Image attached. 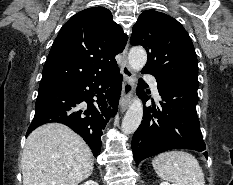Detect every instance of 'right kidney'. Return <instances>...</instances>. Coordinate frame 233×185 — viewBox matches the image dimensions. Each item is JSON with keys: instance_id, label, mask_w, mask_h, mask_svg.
Segmentation results:
<instances>
[{"instance_id": "obj_1", "label": "right kidney", "mask_w": 233, "mask_h": 185, "mask_svg": "<svg viewBox=\"0 0 233 185\" xmlns=\"http://www.w3.org/2000/svg\"><path fill=\"white\" fill-rule=\"evenodd\" d=\"M82 185H98L97 182L93 181V180H88L87 182H85L84 184Z\"/></svg>"}]
</instances>
